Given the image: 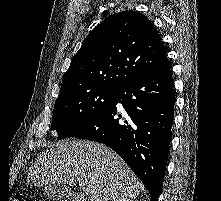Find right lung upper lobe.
<instances>
[{"mask_svg": "<svg viewBox=\"0 0 221 201\" xmlns=\"http://www.w3.org/2000/svg\"><path fill=\"white\" fill-rule=\"evenodd\" d=\"M166 60L165 46L146 16L136 11L113 14L83 41L63 75L58 98L92 88L116 90Z\"/></svg>", "mask_w": 221, "mask_h": 201, "instance_id": "right-lung-upper-lobe-1", "label": "right lung upper lobe"}]
</instances>
